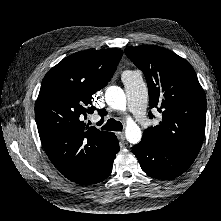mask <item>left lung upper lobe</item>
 Masks as SVG:
<instances>
[{
    "instance_id": "left-lung-upper-lobe-1",
    "label": "left lung upper lobe",
    "mask_w": 221,
    "mask_h": 221,
    "mask_svg": "<svg viewBox=\"0 0 221 221\" xmlns=\"http://www.w3.org/2000/svg\"><path fill=\"white\" fill-rule=\"evenodd\" d=\"M125 53L146 77L151 108L162 113L159 125L147 128L140 143L166 144L196 158L205 134L206 97L193 67L155 45L126 48Z\"/></svg>"
}]
</instances>
